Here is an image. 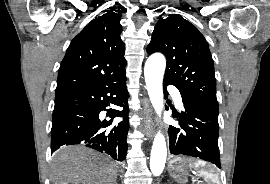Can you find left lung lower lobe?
<instances>
[{
    "instance_id": "0a47b994",
    "label": "left lung lower lobe",
    "mask_w": 270,
    "mask_h": 184,
    "mask_svg": "<svg viewBox=\"0 0 270 184\" xmlns=\"http://www.w3.org/2000/svg\"><path fill=\"white\" fill-rule=\"evenodd\" d=\"M163 85L164 94L167 97L166 86L175 84L164 79ZM181 96L184 111L174 116L180 121L181 129L169 127L170 152L174 155L191 156L208 161L221 168L218 148V113L200 104L189 95L181 93Z\"/></svg>"
}]
</instances>
